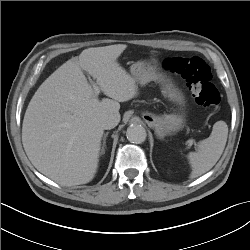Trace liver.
Masks as SVG:
<instances>
[{
    "mask_svg": "<svg viewBox=\"0 0 250 250\" xmlns=\"http://www.w3.org/2000/svg\"><path fill=\"white\" fill-rule=\"evenodd\" d=\"M125 44L88 48L54 71L37 89L24 115L22 142L34 167L63 186L90 182L98 168L108 115L138 94L135 79L117 62ZM83 70L109 98L98 99Z\"/></svg>",
    "mask_w": 250,
    "mask_h": 250,
    "instance_id": "6515ba94",
    "label": "liver"
}]
</instances>
